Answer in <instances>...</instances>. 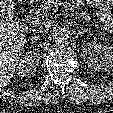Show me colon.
<instances>
[{"label": "colon", "mask_w": 113, "mask_h": 113, "mask_svg": "<svg viewBox=\"0 0 113 113\" xmlns=\"http://www.w3.org/2000/svg\"><path fill=\"white\" fill-rule=\"evenodd\" d=\"M106 14L109 16V17H112L113 18V5H110L107 7L106 9Z\"/></svg>", "instance_id": "1"}]
</instances>
